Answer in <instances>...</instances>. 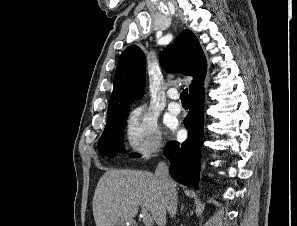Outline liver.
I'll list each match as a JSON object with an SVG mask.
<instances>
[{
    "instance_id": "liver-1",
    "label": "liver",
    "mask_w": 297,
    "mask_h": 226,
    "mask_svg": "<svg viewBox=\"0 0 297 226\" xmlns=\"http://www.w3.org/2000/svg\"><path fill=\"white\" fill-rule=\"evenodd\" d=\"M96 226H113L120 218L135 217L146 208L158 226L166 225L165 191L147 171L117 169L104 173L93 197Z\"/></svg>"
}]
</instances>
